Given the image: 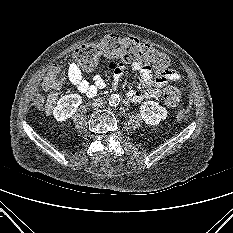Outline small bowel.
Here are the masks:
<instances>
[{"instance_id": "1", "label": "small bowel", "mask_w": 233, "mask_h": 233, "mask_svg": "<svg viewBox=\"0 0 233 233\" xmlns=\"http://www.w3.org/2000/svg\"><path fill=\"white\" fill-rule=\"evenodd\" d=\"M106 66L113 70V87L116 89L124 71V65L117 58H105ZM132 68L140 75V81L144 89L128 91L124 102L137 104L147 99H158L162 95V88L170 81H178L180 75L174 70L160 71L153 74L150 64H131ZM70 83L82 94L92 97L99 89L105 87V81L100 75L94 76V84H90L82 75L81 69L76 62L68 68Z\"/></svg>"}]
</instances>
